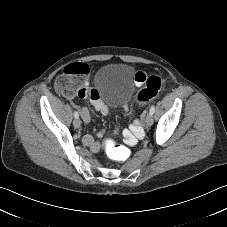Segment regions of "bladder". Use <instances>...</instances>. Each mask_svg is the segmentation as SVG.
<instances>
[{
    "label": "bladder",
    "instance_id": "bladder-1",
    "mask_svg": "<svg viewBox=\"0 0 227 227\" xmlns=\"http://www.w3.org/2000/svg\"><path fill=\"white\" fill-rule=\"evenodd\" d=\"M98 89L96 94H100L103 103L107 104L109 101L105 91L114 97L119 103H127L132 98L135 85L133 82V67L130 65L112 64L99 70ZM106 87V90H104Z\"/></svg>",
    "mask_w": 227,
    "mask_h": 227
}]
</instances>
